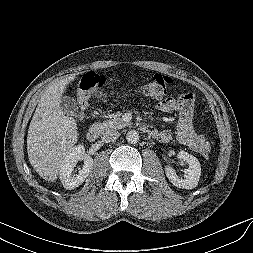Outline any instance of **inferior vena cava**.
Listing matches in <instances>:
<instances>
[{
  "label": "inferior vena cava",
  "instance_id": "inferior-vena-cava-1",
  "mask_svg": "<svg viewBox=\"0 0 253 253\" xmlns=\"http://www.w3.org/2000/svg\"><path fill=\"white\" fill-rule=\"evenodd\" d=\"M120 136V133L117 131L106 133L102 136V141L105 143H109L111 141H115Z\"/></svg>",
  "mask_w": 253,
  "mask_h": 253
}]
</instances>
